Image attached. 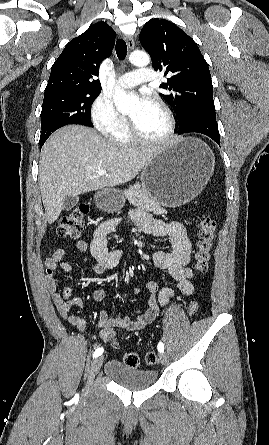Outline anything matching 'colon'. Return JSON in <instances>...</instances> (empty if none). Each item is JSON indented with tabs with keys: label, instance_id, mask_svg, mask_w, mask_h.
Instances as JSON below:
<instances>
[{
	"label": "colon",
	"instance_id": "obj_1",
	"mask_svg": "<svg viewBox=\"0 0 269 445\" xmlns=\"http://www.w3.org/2000/svg\"><path fill=\"white\" fill-rule=\"evenodd\" d=\"M88 213L89 207L87 205H79L67 212L59 221L57 227L58 236L62 239L68 240L78 238L85 228ZM198 227L199 236L196 245L195 268L199 273H206L209 269L211 261V251L215 238L216 222L214 219L208 216L200 217L198 219ZM187 309L190 314L196 313L199 309L198 301L192 300L188 304ZM105 339L107 342H115L116 336L114 331H107L105 333ZM144 359L149 365H154L158 361V357L153 351L147 352ZM123 362L128 367L137 368L140 365V357L135 352H128L124 355Z\"/></svg>",
	"mask_w": 269,
	"mask_h": 445
}]
</instances>
